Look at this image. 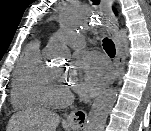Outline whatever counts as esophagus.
Here are the masks:
<instances>
[{
	"label": "esophagus",
	"instance_id": "esophagus-1",
	"mask_svg": "<svg viewBox=\"0 0 151 131\" xmlns=\"http://www.w3.org/2000/svg\"><path fill=\"white\" fill-rule=\"evenodd\" d=\"M101 11L107 21V33L113 39L116 45L115 71L113 81L117 80L124 68L125 53L120 35L112 28L115 22V15L111 8V0H101ZM87 114L82 110L72 111L66 118L67 122L77 129L82 130L85 126Z\"/></svg>",
	"mask_w": 151,
	"mask_h": 131
}]
</instances>
